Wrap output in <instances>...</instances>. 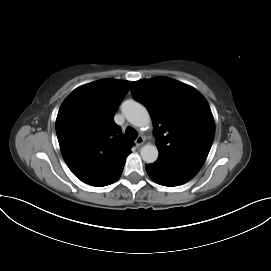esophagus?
I'll return each instance as SVG.
<instances>
[{"instance_id": "1", "label": "esophagus", "mask_w": 271, "mask_h": 271, "mask_svg": "<svg viewBox=\"0 0 271 271\" xmlns=\"http://www.w3.org/2000/svg\"><path fill=\"white\" fill-rule=\"evenodd\" d=\"M145 138L143 136H138L135 140V144L137 147H140L144 144Z\"/></svg>"}]
</instances>
